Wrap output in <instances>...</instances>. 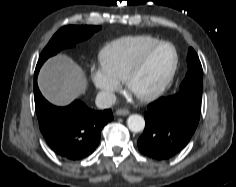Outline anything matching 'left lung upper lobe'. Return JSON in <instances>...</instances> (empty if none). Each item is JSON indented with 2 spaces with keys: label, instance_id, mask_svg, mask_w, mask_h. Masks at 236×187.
I'll use <instances>...</instances> for the list:
<instances>
[{
  "label": "left lung upper lobe",
  "instance_id": "obj_1",
  "mask_svg": "<svg viewBox=\"0 0 236 187\" xmlns=\"http://www.w3.org/2000/svg\"><path fill=\"white\" fill-rule=\"evenodd\" d=\"M188 72L180 85V90L171 99L185 97L201 104L203 87V70L198 55L193 48H189L187 55Z\"/></svg>",
  "mask_w": 236,
  "mask_h": 187
}]
</instances>
